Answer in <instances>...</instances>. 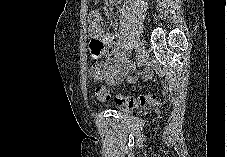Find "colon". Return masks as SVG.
I'll list each match as a JSON object with an SVG mask.
<instances>
[{"label": "colon", "instance_id": "colon-1", "mask_svg": "<svg viewBox=\"0 0 227 157\" xmlns=\"http://www.w3.org/2000/svg\"><path fill=\"white\" fill-rule=\"evenodd\" d=\"M89 72L92 77H99L104 72L101 61H95L90 65ZM95 97L100 102L108 101L111 97L110 89L105 85H99L95 90ZM115 102L128 108H140L157 106L161 100L155 95L140 94L138 96L117 95Z\"/></svg>", "mask_w": 227, "mask_h": 157}]
</instances>
